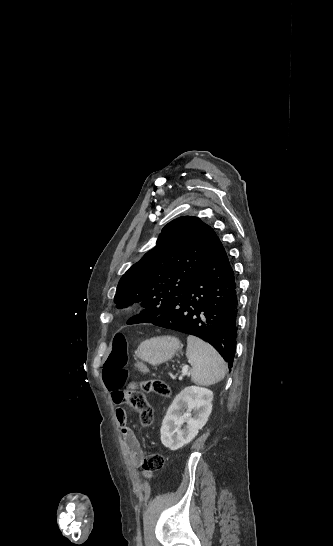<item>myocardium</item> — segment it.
Instances as JSON below:
<instances>
[{
	"instance_id": "obj_1",
	"label": "myocardium",
	"mask_w": 333,
	"mask_h": 546,
	"mask_svg": "<svg viewBox=\"0 0 333 546\" xmlns=\"http://www.w3.org/2000/svg\"><path fill=\"white\" fill-rule=\"evenodd\" d=\"M133 309H134V305L131 304V305L125 307L124 310H125L126 312H130V311H132Z\"/></svg>"
}]
</instances>
